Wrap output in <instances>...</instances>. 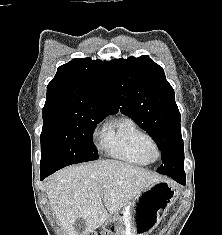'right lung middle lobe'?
<instances>
[{
  "label": "right lung middle lobe",
  "instance_id": "1",
  "mask_svg": "<svg viewBox=\"0 0 222 235\" xmlns=\"http://www.w3.org/2000/svg\"><path fill=\"white\" fill-rule=\"evenodd\" d=\"M106 115L73 110L43 114L41 172L98 159L92 135Z\"/></svg>",
  "mask_w": 222,
  "mask_h": 235
}]
</instances>
